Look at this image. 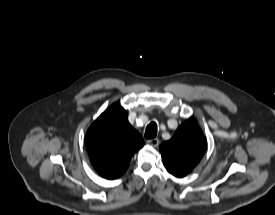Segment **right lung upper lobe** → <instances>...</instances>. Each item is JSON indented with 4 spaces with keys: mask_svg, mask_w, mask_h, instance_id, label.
Here are the masks:
<instances>
[{
    "mask_svg": "<svg viewBox=\"0 0 275 215\" xmlns=\"http://www.w3.org/2000/svg\"><path fill=\"white\" fill-rule=\"evenodd\" d=\"M85 143L94 168L107 179L120 177L133 154L144 145L139 132L128 122L126 111L118 104L111 105L93 122Z\"/></svg>",
    "mask_w": 275,
    "mask_h": 215,
    "instance_id": "obj_1",
    "label": "right lung upper lobe"
}]
</instances>
